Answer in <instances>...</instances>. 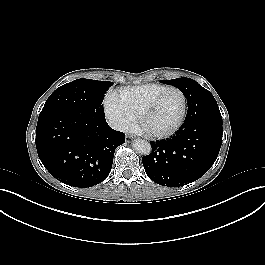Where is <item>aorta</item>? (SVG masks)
Returning <instances> with one entry per match:
<instances>
[{
  "mask_svg": "<svg viewBox=\"0 0 265 265\" xmlns=\"http://www.w3.org/2000/svg\"><path fill=\"white\" fill-rule=\"evenodd\" d=\"M135 151L142 155H149L151 153V144L148 141L137 139L132 144Z\"/></svg>",
  "mask_w": 265,
  "mask_h": 265,
  "instance_id": "762f6f07",
  "label": "aorta"
}]
</instances>
